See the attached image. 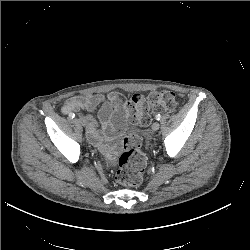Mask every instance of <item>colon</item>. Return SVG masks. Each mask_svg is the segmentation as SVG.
<instances>
[{"label": "colon", "instance_id": "1", "mask_svg": "<svg viewBox=\"0 0 250 250\" xmlns=\"http://www.w3.org/2000/svg\"><path fill=\"white\" fill-rule=\"evenodd\" d=\"M177 107L175 94L168 90L155 91L148 96L134 95L128 102V119L134 125L146 127L155 111L171 112ZM138 136L124 140V152L118 160L117 181L125 186H138L146 166L145 155Z\"/></svg>", "mask_w": 250, "mask_h": 250}]
</instances>
